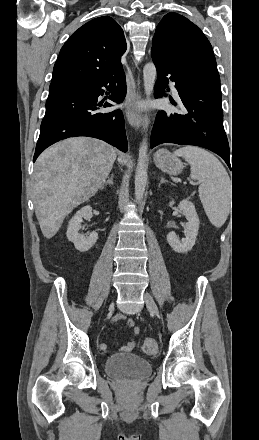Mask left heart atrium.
I'll use <instances>...</instances> for the list:
<instances>
[{
    "mask_svg": "<svg viewBox=\"0 0 259 440\" xmlns=\"http://www.w3.org/2000/svg\"><path fill=\"white\" fill-rule=\"evenodd\" d=\"M138 107L140 108V107H141V104H138Z\"/></svg>",
    "mask_w": 259,
    "mask_h": 440,
    "instance_id": "obj_1",
    "label": "left heart atrium"
}]
</instances>
